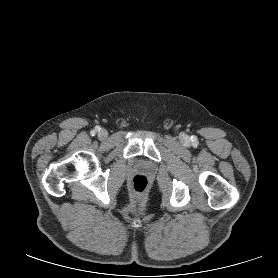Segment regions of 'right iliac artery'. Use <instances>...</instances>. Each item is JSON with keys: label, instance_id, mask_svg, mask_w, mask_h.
Here are the masks:
<instances>
[{"label": "right iliac artery", "instance_id": "obj_1", "mask_svg": "<svg viewBox=\"0 0 278 278\" xmlns=\"http://www.w3.org/2000/svg\"><path fill=\"white\" fill-rule=\"evenodd\" d=\"M96 130L99 131V128L97 127L95 130L91 131V134H92V135H95Z\"/></svg>", "mask_w": 278, "mask_h": 278}]
</instances>
